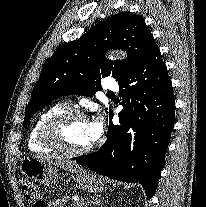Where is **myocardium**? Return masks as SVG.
I'll use <instances>...</instances> for the list:
<instances>
[{
  "label": "myocardium",
  "instance_id": "1",
  "mask_svg": "<svg viewBox=\"0 0 206 207\" xmlns=\"http://www.w3.org/2000/svg\"><path fill=\"white\" fill-rule=\"evenodd\" d=\"M70 120L90 122L86 114L77 110H65L56 113L47 119L40 128L39 141L41 144L67 157H80L92 152L95 148L94 141L87 147L79 150H70L59 141L56 134L57 129Z\"/></svg>",
  "mask_w": 206,
  "mask_h": 207
}]
</instances>
